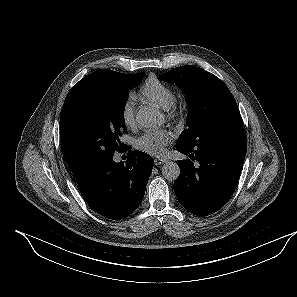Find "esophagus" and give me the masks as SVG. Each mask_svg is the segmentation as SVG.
<instances>
[{
  "label": "esophagus",
  "instance_id": "1",
  "mask_svg": "<svg viewBox=\"0 0 297 297\" xmlns=\"http://www.w3.org/2000/svg\"><path fill=\"white\" fill-rule=\"evenodd\" d=\"M165 162H166V159H164V158H155L154 159V163H155L156 166L162 165Z\"/></svg>",
  "mask_w": 297,
  "mask_h": 297
}]
</instances>
